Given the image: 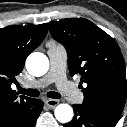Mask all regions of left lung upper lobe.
<instances>
[{"instance_id":"obj_1","label":"left lung upper lobe","mask_w":127,"mask_h":127,"mask_svg":"<svg viewBox=\"0 0 127 127\" xmlns=\"http://www.w3.org/2000/svg\"><path fill=\"white\" fill-rule=\"evenodd\" d=\"M49 30L67 50L70 74L79 73L81 84H87L82 105L120 117L127 95L126 69L114 39L83 18L51 22Z\"/></svg>"}]
</instances>
